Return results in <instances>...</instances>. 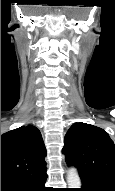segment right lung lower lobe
Returning <instances> with one entry per match:
<instances>
[{"mask_svg": "<svg viewBox=\"0 0 115 191\" xmlns=\"http://www.w3.org/2000/svg\"><path fill=\"white\" fill-rule=\"evenodd\" d=\"M47 174L18 180V181H1V191H48L45 187Z\"/></svg>", "mask_w": 115, "mask_h": 191, "instance_id": "1", "label": "right lung lower lobe"}]
</instances>
